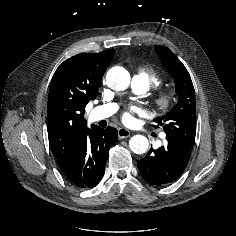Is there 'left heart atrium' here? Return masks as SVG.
<instances>
[{"label":"left heart atrium","instance_id":"39dd6f15","mask_svg":"<svg viewBox=\"0 0 236 236\" xmlns=\"http://www.w3.org/2000/svg\"><path fill=\"white\" fill-rule=\"evenodd\" d=\"M139 110L136 108V107H132L130 108L128 111H126L124 114H123V121L126 123V124H130L133 122V114L134 113H138Z\"/></svg>","mask_w":236,"mask_h":236}]
</instances>
